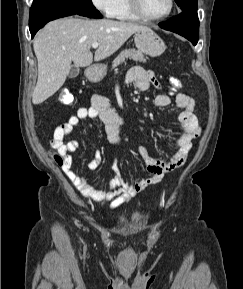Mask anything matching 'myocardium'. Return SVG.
<instances>
[{"mask_svg":"<svg viewBox=\"0 0 243 289\" xmlns=\"http://www.w3.org/2000/svg\"><path fill=\"white\" fill-rule=\"evenodd\" d=\"M130 8L133 11V13L138 16L141 20L145 21H159L162 19L167 18L169 15H171L174 6H175V0H169V8L168 10L160 15V16H149L147 15L142 7V1L141 0H129Z\"/></svg>","mask_w":243,"mask_h":289,"instance_id":"myocardium-1","label":"myocardium"}]
</instances>
